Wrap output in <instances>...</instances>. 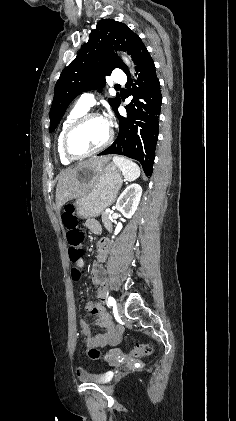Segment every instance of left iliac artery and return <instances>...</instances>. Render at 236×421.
Returning <instances> with one entry per match:
<instances>
[{
	"label": "left iliac artery",
	"mask_w": 236,
	"mask_h": 421,
	"mask_svg": "<svg viewBox=\"0 0 236 421\" xmlns=\"http://www.w3.org/2000/svg\"><path fill=\"white\" fill-rule=\"evenodd\" d=\"M108 306H116V301L113 297H108Z\"/></svg>",
	"instance_id": "1"
}]
</instances>
